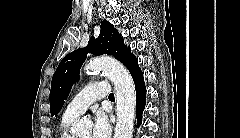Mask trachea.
<instances>
[{
	"mask_svg": "<svg viewBox=\"0 0 240 138\" xmlns=\"http://www.w3.org/2000/svg\"><path fill=\"white\" fill-rule=\"evenodd\" d=\"M109 100H114V94L111 93L109 96H108Z\"/></svg>",
	"mask_w": 240,
	"mask_h": 138,
	"instance_id": "3493384b",
	"label": "trachea"
}]
</instances>
